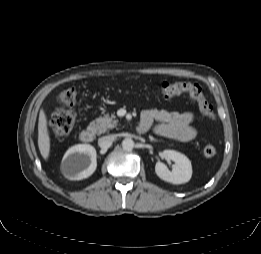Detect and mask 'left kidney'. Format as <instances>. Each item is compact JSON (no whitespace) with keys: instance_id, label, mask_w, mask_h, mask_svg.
Wrapping results in <instances>:
<instances>
[{"instance_id":"obj_1","label":"left kidney","mask_w":261,"mask_h":254,"mask_svg":"<svg viewBox=\"0 0 261 254\" xmlns=\"http://www.w3.org/2000/svg\"><path fill=\"white\" fill-rule=\"evenodd\" d=\"M162 157L172 160L175 164L170 171L164 163L157 162L155 172L160 179L172 184H183L191 179V161L184 154L175 150H164Z\"/></svg>"}]
</instances>
